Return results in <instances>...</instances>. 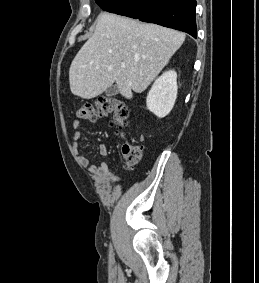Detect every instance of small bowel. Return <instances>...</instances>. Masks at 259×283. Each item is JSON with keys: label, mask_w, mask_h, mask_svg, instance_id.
Wrapping results in <instances>:
<instances>
[{"label": "small bowel", "mask_w": 259, "mask_h": 283, "mask_svg": "<svg viewBox=\"0 0 259 283\" xmlns=\"http://www.w3.org/2000/svg\"><path fill=\"white\" fill-rule=\"evenodd\" d=\"M72 127L74 129L73 132V140H74V148L76 151H79L80 145L79 140L81 139L82 133L80 132L81 122L78 119H75L72 122ZM99 153L101 156L105 157L108 155V149L105 145H101L99 147ZM78 163L85 167L91 174H93L97 182L100 186L118 184L120 182L119 177L113 174L111 167L106 162H101L98 165L92 164L90 160L83 156L78 155L77 157Z\"/></svg>", "instance_id": "small-bowel-1"}]
</instances>
